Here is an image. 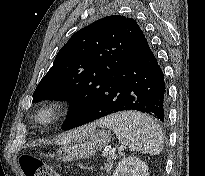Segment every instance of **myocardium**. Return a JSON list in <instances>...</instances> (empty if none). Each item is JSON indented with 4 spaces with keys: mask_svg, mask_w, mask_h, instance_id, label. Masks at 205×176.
I'll list each match as a JSON object with an SVG mask.
<instances>
[{
    "mask_svg": "<svg viewBox=\"0 0 205 176\" xmlns=\"http://www.w3.org/2000/svg\"><path fill=\"white\" fill-rule=\"evenodd\" d=\"M67 108L66 103L61 100L50 101L37 110L34 120L40 125L54 124L61 118Z\"/></svg>",
    "mask_w": 205,
    "mask_h": 176,
    "instance_id": "obj_1",
    "label": "myocardium"
}]
</instances>
